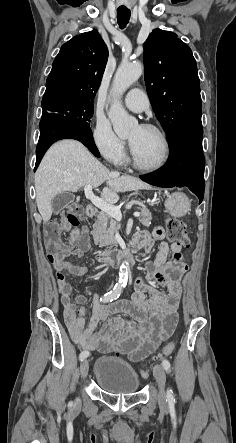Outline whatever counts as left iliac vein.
Here are the masks:
<instances>
[{
  "instance_id": "1",
  "label": "left iliac vein",
  "mask_w": 236,
  "mask_h": 443,
  "mask_svg": "<svg viewBox=\"0 0 236 443\" xmlns=\"http://www.w3.org/2000/svg\"><path fill=\"white\" fill-rule=\"evenodd\" d=\"M154 377L158 384V403L160 410L162 412L167 411V401L165 395V383H166V374L164 367L160 364H156L153 368Z\"/></svg>"
}]
</instances>
